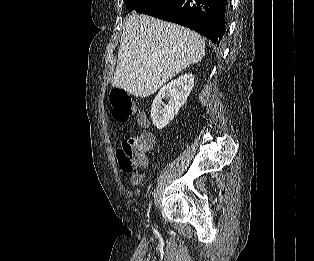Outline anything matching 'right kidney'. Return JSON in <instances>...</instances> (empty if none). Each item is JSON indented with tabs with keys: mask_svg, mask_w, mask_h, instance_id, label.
<instances>
[{
	"mask_svg": "<svg viewBox=\"0 0 314 261\" xmlns=\"http://www.w3.org/2000/svg\"><path fill=\"white\" fill-rule=\"evenodd\" d=\"M193 86L194 76L185 74L159 90L151 107V118L157 129H163L175 117L181 106L185 104ZM164 98H168V104L162 102Z\"/></svg>",
	"mask_w": 314,
	"mask_h": 261,
	"instance_id": "right-kidney-1",
	"label": "right kidney"
}]
</instances>
